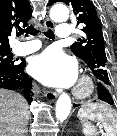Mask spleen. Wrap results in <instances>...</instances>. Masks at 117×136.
Returning <instances> with one entry per match:
<instances>
[{
	"instance_id": "1",
	"label": "spleen",
	"mask_w": 117,
	"mask_h": 136,
	"mask_svg": "<svg viewBox=\"0 0 117 136\" xmlns=\"http://www.w3.org/2000/svg\"><path fill=\"white\" fill-rule=\"evenodd\" d=\"M85 136H96V127L90 121H96L105 130V136H117V113L104 103H89L78 111Z\"/></svg>"
}]
</instances>
